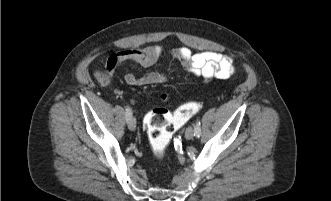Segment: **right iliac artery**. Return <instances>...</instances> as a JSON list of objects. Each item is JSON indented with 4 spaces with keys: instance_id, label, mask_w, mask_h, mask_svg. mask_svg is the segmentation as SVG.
I'll return each instance as SVG.
<instances>
[{
    "instance_id": "right-iliac-artery-1",
    "label": "right iliac artery",
    "mask_w": 331,
    "mask_h": 201,
    "mask_svg": "<svg viewBox=\"0 0 331 201\" xmlns=\"http://www.w3.org/2000/svg\"><path fill=\"white\" fill-rule=\"evenodd\" d=\"M126 112H125V116H126V120H130V118L132 117V111L131 108L129 106H126Z\"/></svg>"
}]
</instances>
